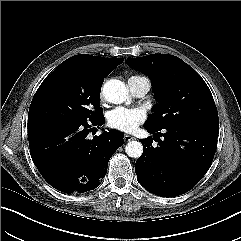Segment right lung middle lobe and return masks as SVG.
Listing matches in <instances>:
<instances>
[{
    "instance_id": "dd1d6c3e",
    "label": "right lung middle lobe",
    "mask_w": 241,
    "mask_h": 241,
    "mask_svg": "<svg viewBox=\"0 0 241 241\" xmlns=\"http://www.w3.org/2000/svg\"><path fill=\"white\" fill-rule=\"evenodd\" d=\"M102 83L82 78L76 67L62 62L36 91L28 125L46 121L87 122L101 116Z\"/></svg>"
}]
</instances>
